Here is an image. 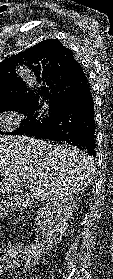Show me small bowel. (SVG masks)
I'll list each match as a JSON object with an SVG mask.
<instances>
[{"label":"small bowel","mask_w":113,"mask_h":279,"mask_svg":"<svg viewBox=\"0 0 113 279\" xmlns=\"http://www.w3.org/2000/svg\"><path fill=\"white\" fill-rule=\"evenodd\" d=\"M8 264H9L10 267L15 268V267H19L21 265V262L14 259L11 262H9ZM0 279H2L1 274H0Z\"/></svg>","instance_id":"small-bowel-1"}]
</instances>
